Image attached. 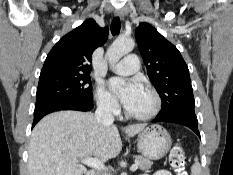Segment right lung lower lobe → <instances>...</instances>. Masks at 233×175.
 I'll return each mask as SVG.
<instances>
[{"instance_id": "1", "label": "right lung lower lobe", "mask_w": 233, "mask_h": 175, "mask_svg": "<svg viewBox=\"0 0 233 175\" xmlns=\"http://www.w3.org/2000/svg\"><path fill=\"white\" fill-rule=\"evenodd\" d=\"M93 108L91 103H77V102H52L41 105L34 110V121L32 127L45 115L54 111L61 110H77V111H89Z\"/></svg>"}]
</instances>
